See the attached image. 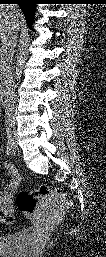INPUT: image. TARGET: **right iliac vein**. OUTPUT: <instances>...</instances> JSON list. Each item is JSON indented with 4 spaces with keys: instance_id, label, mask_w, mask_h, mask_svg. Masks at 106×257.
Masks as SVG:
<instances>
[{
    "instance_id": "obj_1",
    "label": "right iliac vein",
    "mask_w": 106,
    "mask_h": 257,
    "mask_svg": "<svg viewBox=\"0 0 106 257\" xmlns=\"http://www.w3.org/2000/svg\"><path fill=\"white\" fill-rule=\"evenodd\" d=\"M8 142H9L10 146L12 147V149H14L15 152H16V150H17V145H16V141H15L14 135L9 134V136H8Z\"/></svg>"
}]
</instances>
